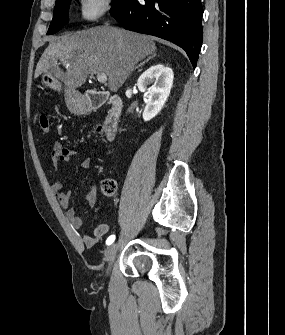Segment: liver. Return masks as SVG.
<instances>
[{
  "mask_svg": "<svg viewBox=\"0 0 285 335\" xmlns=\"http://www.w3.org/2000/svg\"><path fill=\"white\" fill-rule=\"evenodd\" d=\"M56 40H49L50 44L37 64L35 76L38 78L42 72L52 70L57 78H61L59 60L66 68L61 80L69 90L81 88L90 74H105L109 90L118 92L136 64L157 50L151 36L112 26L89 28Z\"/></svg>",
  "mask_w": 285,
  "mask_h": 335,
  "instance_id": "obj_1",
  "label": "liver"
}]
</instances>
